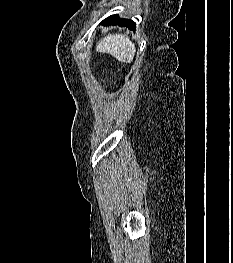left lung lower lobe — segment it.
Here are the masks:
<instances>
[{
    "mask_svg": "<svg viewBox=\"0 0 233 263\" xmlns=\"http://www.w3.org/2000/svg\"><path fill=\"white\" fill-rule=\"evenodd\" d=\"M103 23L118 25L120 27H128L131 30H135L136 24L131 19H120L117 15H111L103 20Z\"/></svg>",
    "mask_w": 233,
    "mask_h": 263,
    "instance_id": "0a47b994",
    "label": "left lung lower lobe"
}]
</instances>
